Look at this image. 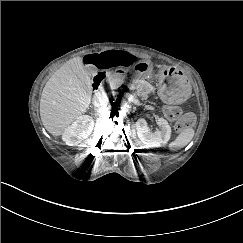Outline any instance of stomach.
<instances>
[{
    "label": "stomach",
    "mask_w": 243,
    "mask_h": 243,
    "mask_svg": "<svg viewBox=\"0 0 243 243\" xmlns=\"http://www.w3.org/2000/svg\"><path fill=\"white\" fill-rule=\"evenodd\" d=\"M134 72L138 78L152 80L159 96L168 104H180L191 94L188 78L177 69L162 67L153 72L149 61H141L134 66Z\"/></svg>",
    "instance_id": "1"
}]
</instances>
